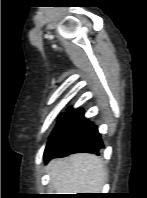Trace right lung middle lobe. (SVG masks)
<instances>
[{
  "label": "right lung middle lobe",
  "mask_w": 147,
  "mask_h": 198,
  "mask_svg": "<svg viewBox=\"0 0 147 198\" xmlns=\"http://www.w3.org/2000/svg\"><path fill=\"white\" fill-rule=\"evenodd\" d=\"M70 113H71V112H65V113H63V114L60 116V118H59V120H58V123H57V125H56L54 131L52 132L51 136H52V135L55 133V131L65 122V120L67 119V117L69 116Z\"/></svg>",
  "instance_id": "right-lung-middle-lobe-1"
}]
</instances>
